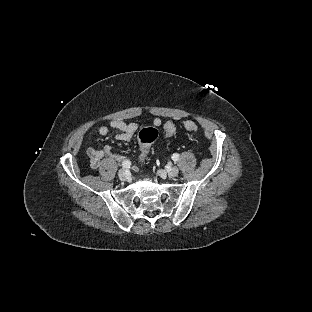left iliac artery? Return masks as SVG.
<instances>
[{
	"label": "left iliac artery",
	"instance_id": "1",
	"mask_svg": "<svg viewBox=\"0 0 312 312\" xmlns=\"http://www.w3.org/2000/svg\"><path fill=\"white\" fill-rule=\"evenodd\" d=\"M171 158L172 160L177 161L179 159V154L174 153Z\"/></svg>",
	"mask_w": 312,
	"mask_h": 312
}]
</instances>
